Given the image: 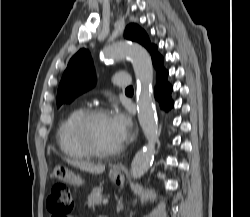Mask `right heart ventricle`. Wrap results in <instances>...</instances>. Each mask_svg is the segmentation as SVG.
<instances>
[{
	"instance_id": "obj_1",
	"label": "right heart ventricle",
	"mask_w": 250,
	"mask_h": 217,
	"mask_svg": "<svg viewBox=\"0 0 250 217\" xmlns=\"http://www.w3.org/2000/svg\"><path fill=\"white\" fill-rule=\"evenodd\" d=\"M85 112L86 109L82 106L72 109L58 127V146L66 156L73 159H86L91 156L81 145L76 135V124Z\"/></svg>"
}]
</instances>
